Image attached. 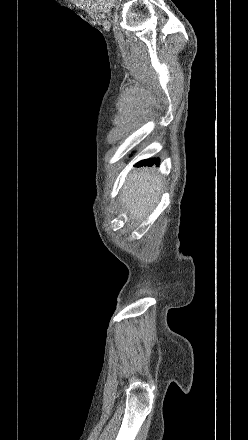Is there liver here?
I'll return each instance as SVG.
<instances>
[{"label":"liver","instance_id":"1","mask_svg":"<svg viewBox=\"0 0 248 440\" xmlns=\"http://www.w3.org/2000/svg\"><path fill=\"white\" fill-rule=\"evenodd\" d=\"M161 178L154 173L134 172L122 189V206L129 213V219L141 221L153 210L159 201Z\"/></svg>","mask_w":248,"mask_h":440}]
</instances>
